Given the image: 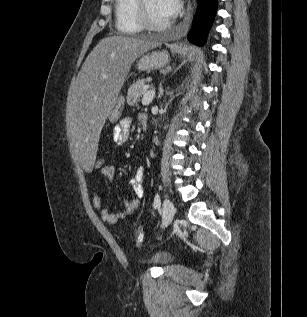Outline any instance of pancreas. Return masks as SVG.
I'll return each instance as SVG.
<instances>
[{
  "label": "pancreas",
  "mask_w": 307,
  "mask_h": 317,
  "mask_svg": "<svg viewBox=\"0 0 307 317\" xmlns=\"http://www.w3.org/2000/svg\"><path fill=\"white\" fill-rule=\"evenodd\" d=\"M148 79H139L134 82L127 91V104L130 106L137 105L140 101V98L145 94V90L143 89Z\"/></svg>",
  "instance_id": "pancreas-1"
}]
</instances>
